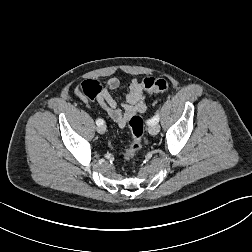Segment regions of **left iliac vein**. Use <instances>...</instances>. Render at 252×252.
I'll use <instances>...</instances> for the list:
<instances>
[{
    "mask_svg": "<svg viewBox=\"0 0 252 252\" xmlns=\"http://www.w3.org/2000/svg\"><path fill=\"white\" fill-rule=\"evenodd\" d=\"M159 130H160V126L157 125V124H153V125H150V126L148 127V131H149V133H150L151 135H156V134H158Z\"/></svg>",
    "mask_w": 252,
    "mask_h": 252,
    "instance_id": "1",
    "label": "left iliac vein"
}]
</instances>
